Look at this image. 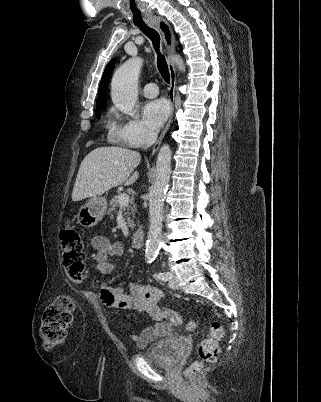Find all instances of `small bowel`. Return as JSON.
Returning a JSON list of instances; mask_svg holds the SVG:
<instances>
[{
    "label": "small bowel",
    "mask_w": 321,
    "mask_h": 402,
    "mask_svg": "<svg viewBox=\"0 0 321 402\" xmlns=\"http://www.w3.org/2000/svg\"><path fill=\"white\" fill-rule=\"evenodd\" d=\"M95 250L97 271L109 274L114 270L112 257H120L123 253L121 242H111L104 236H95L92 239ZM102 303L108 308L133 309L146 314L155 321L139 334H132L131 340L139 347H146L160 337L169 335L170 328L176 321V313L160 305L163 292L154 285L130 284L128 289L121 285H104L99 290Z\"/></svg>",
    "instance_id": "1"
}]
</instances>
